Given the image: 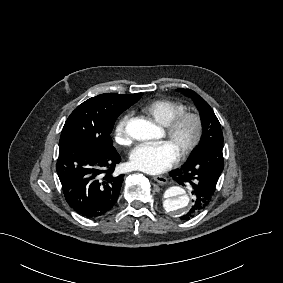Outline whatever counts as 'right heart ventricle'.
<instances>
[{
    "label": "right heart ventricle",
    "instance_id": "1",
    "mask_svg": "<svg viewBox=\"0 0 283 283\" xmlns=\"http://www.w3.org/2000/svg\"><path fill=\"white\" fill-rule=\"evenodd\" d=\"M183 102L172 98H159L152 100L142 107V111L155 122L166 126L172 118L185 112Z\"/></svg>",
    "mask_w": 283,
    "mask_h": 283
}]
</instances>
